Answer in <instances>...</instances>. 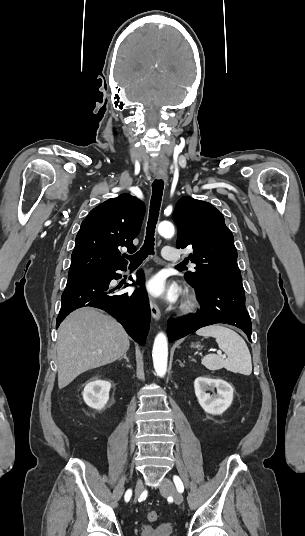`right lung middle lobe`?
<instances>
[{"label":"right lung middle lobe","instance_id":"dd1d6c3e","mask_svg":"<svg viewBox=\"0 0 305 536\" xmlns=\"http://www.w3.org/2000/svg\"><path fill=\"white\" fill-rule=\"evenodd\" d=\"M105 275H106V273L102 272V273H96V274H92V275H88V276L94 277V278H103Z\"/></svg>","mask_w":305,"mask_h":536}]
</instances>
